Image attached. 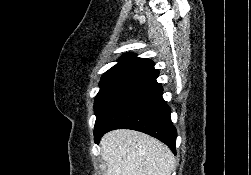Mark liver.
I'll use <instances>...</instances> for the list:
<instances>
[{"mask_svg":"<svg viewBox=\"0 0 251 175\" xmlns=\"http://www.w3.org/2000/svg\"><path fill=\"white\" fill-rule=\"evenodd\" d=\"M106 175H171L175 157L159 139L134 131L113 129L101 139Z\"/></svg>","mask_w":251,"mask_h":175,"instance_id":"liver-1","label":"liver"}]
</instances>
